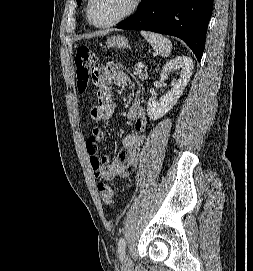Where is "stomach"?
<instances>
[{
    "mask_svg": "<svg viewBox=\"0 0 253 271\" xmlns=\"http://www.w3.org/2000/svg\"><path fill=\"white\" fill-rule=\"evenodd\" d=\"M106 45L111 48L124 49L128 46V39L123 36H113L107 39Z\"/></svg>",
    "mask_w": 253,
    "mask_h": 271,
    "instance_id": "stomach-1",
    "label": "stomach"
}]
</instances>
